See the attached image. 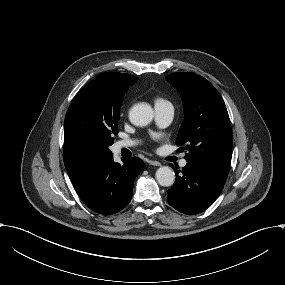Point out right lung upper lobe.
Instances as JSON below:
<instances>
[{
    "instance_id": "cb5924a9",
    "label": "right lung upper lobe",
    "mask_w": 285,
    "mask_h": 285,
    "mask_svg": "<svg viewBox=\"0 0 285 285\" xmlns=\"http://www.w3.org/2000/svg\"><path fill=\"white\" fill-rule=\"evenodd\" d=\"M136 81L137 77L125 73H102L77 94L75 101L91 108L114 103ZM111 157L112 153L80 152L65 147L63 152L64 164L73 185Z\"/></svg>"
}]
</instances>
